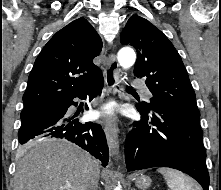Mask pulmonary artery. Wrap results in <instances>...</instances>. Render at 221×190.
Returning a JSON list of instances; mask_svg holds the SVG:
<instances>
[{
	"label": "pulmonary artery",
	"mask_w": 221,
	"mask_h": 190,
	"mask_svg": "<svg viewBox=\"0 0 221 190\" xmlns=\"http://www.w3.org/2000/svg\"><path fill=\"white\" fill-rule=\"evenodd\" d=\"M132 85L137 88H144V83L140 79L133 80ZM145 95L147 98L151 97V93L149 91H146Z\"/></svg>",
	"instance_id": "e3ab8cb5"
}]
</instances>
